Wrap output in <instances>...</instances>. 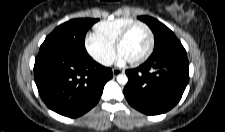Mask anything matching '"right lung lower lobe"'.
I'll use <instances>...</instances> for the list:
<instances>
[{
	"instance_id": "1",
	"label": "right lung lower lobe",
	"mask_w": 225,
	"mask_h": 132,
	"mask_svg": "<svg viewBox=\"0 0 225 132\" xmlns=\"http://www.w3.org/2000/svg\"><path fill=\"white\" fill-rule=\"evenodd\" d=\"M35 83L44 103L66 117H79L99 101L112 70L87 53L40 49L34 65Z\"/></svg>"
}]
</instances>
